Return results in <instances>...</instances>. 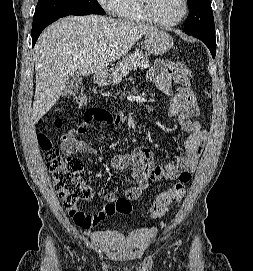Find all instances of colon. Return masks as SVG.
<instances>
[{
  "label": "colon",
  "mask_w": 253,
  "mask_h": 271,
  "mask_svg": "<svg viewBox=\"0 0 253 271\" xmlns=\"http://www.w3.org/2000/svg\"><path fill=\"white\" fill-rule=\"evenodd\" d=\"M180 68L186 72L189 69L181 63ZM88 95L81 89L74 96V103L81 107L86 105ZM87 119H93L98 122L110 119V113L105 110L93 109L85 114ZM61 124L60 118L55 121ZM38 143L45 152L47 167L52 175L54 187L61 199L64 208L80 227L90 228L96 224V218L92 214L86 213L82 208V202L92 197V188L84 180V169L80 159L63 155L53 146L52 140L45 133L38 135ZM191 180V174L184 172L178 181L169 189L161 192L150 207V216L153 219L162 217L168 207L175 201H181L186 194L187 184ZM110 207L119 214H128L132 211V205L127 198H119Z\"/></svg>",
  "instance_id": "1"
}]
</instances>
